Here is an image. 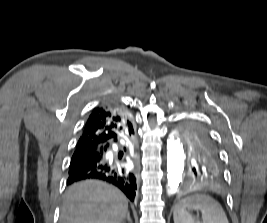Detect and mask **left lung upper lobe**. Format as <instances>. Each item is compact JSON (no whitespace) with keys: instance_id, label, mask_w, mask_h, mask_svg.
I'll return each mask as SVG.
<instances>
[{"instance_id":"1","label":"left lung upper lobe","mask_w":267,"mask_h":223,"mask_svg":"<svg viewBox=\"0 0 267 223\" xmlns=\"http://www.w3.org/2000/svg\"><path fill=\"white\" fill-rule=\"evenodd\" d=\"M179 132L190 171H222L217 148L206 129L196 123H187Z\"/></svg>"}]
</instances>
